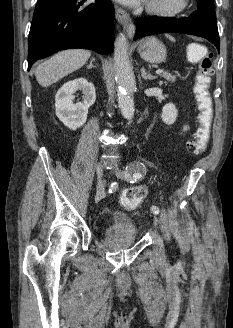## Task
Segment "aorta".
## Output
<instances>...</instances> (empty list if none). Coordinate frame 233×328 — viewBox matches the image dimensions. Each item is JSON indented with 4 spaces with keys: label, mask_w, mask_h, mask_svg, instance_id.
I'll return each mask as SVG.
<instances>
[{
    "label": "aorta",
    "mask_w": 233,
    "mask_h": 328,
    "mask_svg": "<svg viewBox=\"0 0 233 328\" xmlns=\"http://www.w3.org/2000/svg\"><path fill=\"white\" fill-rule=\"evenodd\" d=\"M114 66L118 86V104L124 118L130 120L134 116L133 95L135 78L128 60V44L126 37L120 33L115 40Z\"/></svg>",
    "instance_id": "aorta-1"
}]
</instances>
